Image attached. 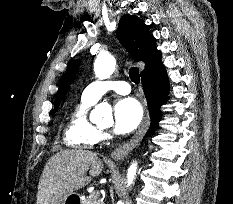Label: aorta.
Instances as JSON below:
<instances>
[{
  "label": "aorta",
  "instance_id": "762f6f07",
  "mask_svg": "<svg viewBox=\"0 0 233 204\" xmlns=\"http://www.w3.org/2000/svg\"><path fill=\"white\" fill-rule=\"evenodd\" d=\"M116 66V60L113 56L105 54L99 55L94 63V72L97 78L107 79L109 78ZM90 120L93 122H112V109L111 106L107 103L98 104L90 115ZM137 170V163L133 162L127 172V184L130 186L133 184Z\"/></svg>",
  "mask_w": 233,
  "mask_h": 204
}]
</instances>
